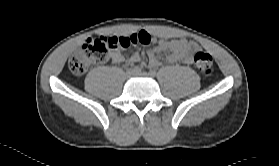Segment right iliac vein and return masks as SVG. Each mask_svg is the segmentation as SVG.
I'll return each mask as SVG.
<instances>
[{
	"label": "right iliac vein",
	"mask_w": 279,
	"mask_h": 166,
	"mask_svg": "<svg viewBox=\"0 0 279 166\" xmlns=\"http://www.w3.org/2000/svg\"><path fill=\"white\" fill-rule=\"evenodd\" d=\"M136 75V72L133 69H130L126 72V77L130 78L132 76Z\"/></svg>",
	"instance_id": "right-iliac-vein-1"
}]
</instances>
